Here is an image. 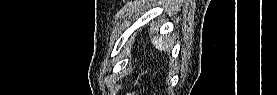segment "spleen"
Returning a JSON list of instances; mask_svg holds the SVG:
<instances>
[{
    "instance_id": "spleen-1",
    "label": "spleen",
    "mask_w": 277,
    "mask_h": 95,
    "mask_svg": "<svg viewBox=\"0 0 277 95\" xmlns=\"http://www.w3.org/2000/svg\"><path fill=\"white\" fill-rule=\"evenodd\" d=\"M152 44L155 46L156 49L162 51H169L170 50V44H168L166 38H158V37H153L151 39Z\"/></svg>"
}]
</instances>
